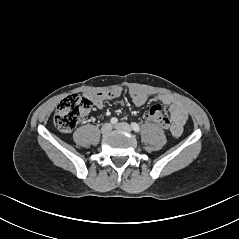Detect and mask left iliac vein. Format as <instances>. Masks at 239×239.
Returning a JSON list of instances; mask_svg holds the SVG:
<instances>
[{"mask_svg": "<svg viewBox=\"0 0 239 239\" xmlns=\"http://www.w3.org/2000/svg\"><path fill=\"white\" fill-rule=\"evenodd\" d=\"M115 128L116 129H119V130H123V131H126V132H131V126L129 125V124H127V123H124V122H122V123H117L116 125H115Z\"/></svg>", "mask_w": 239, "mask_h": 239, "instance_id": "left-iliac-vein-1", "label": "left iliac vein"}]
</instances>
